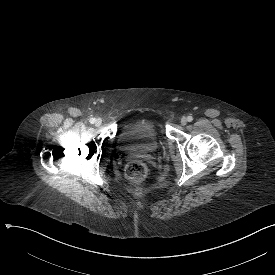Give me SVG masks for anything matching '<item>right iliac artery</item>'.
<instances>
[{
  "mask_svg": "<svg viewBox=\"0 0 275 275\" xmlns=\"http://www.w3.org/2000/svg\"><path fill=\"white\" fill-rule=\"evenodd\" d=\"M95 121H96L95 118H90V120H89V122H90L91 124H93Z\"/></svg>",
  "mask_w": 275,
  "mask_h": 275,
  "instance_id": "1",
  "label": "right iliac artery"
}]
</instances>
